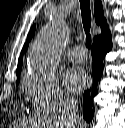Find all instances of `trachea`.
<instances>
[{"label": "trachea", "mask_w": 125, "mask_h": 128, "mask_svg": "<svg viewBox=\"0 0 125 128\" xmlns=\"http://www.w3.org/2000/svg\"><path fill=\"white\" fill-rule=\"evenodd\" d=\"M80 8H81L82 23L86 33V47L90 49L92 39L90 35L91 10H90L89 0H80Z\"/></svg>", "instance_id": "3493384b"}]
</instances>
